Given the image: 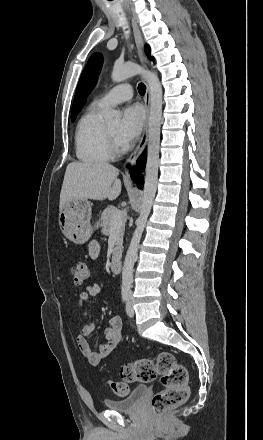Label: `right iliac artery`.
<instances>
[{
	"label": "right iliac artery",
	"mask_w": 263,
	"mask_h": 440,
	"mask_svg": "<svg viewBox=\"0 0 263 440\" xmlns=\"http://www.w3.org/2000/svg\"><path fill=\"white\" fill-rule=\"evenodd\" d=\"M121 294H122V301L126 302L127 299H128V295H129V289L128 288H122Z\"/></svg>",
	"instance_id": "82829eb1"
}]
</instances>
